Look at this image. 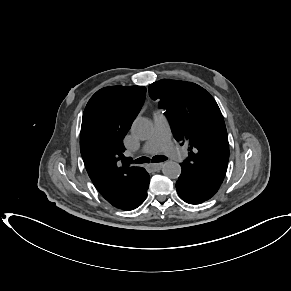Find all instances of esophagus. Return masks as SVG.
Returning a JSON list of instances; mask_svg holds the SVG:
<instances>
[{
    "instance_id": "1",
    "label": "esophagus",
    "mask_w": 291,
    "mask_h": 291,
    "mask_svg": "<svg viewBox=\"0 0 291 291\" xmlns=\"http://www.w3.org/2000/svg\"><path fill=\"white\" fill-rule=\"evenodd\" d=\"M163 163L149 164L152 171H158L163 167Z\"/></svg>"
}]
</instances>
